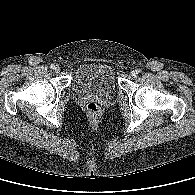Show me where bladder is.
Masks as SVG:
<instances>
[{
	"instance_id": "31cf9c89",
	"label": "bladder",
	"mask_w": 195,
	"mask_h": 195,
	"mask_svg": "<svg viewBox=\"0 0 195 195\" xmlns=\"http://www.w3.org/2000/svg\"><path fill=\"white\" fill-rule=\"evenodd\" d=\"M72 86L81 95L109 96L117 89L115 69L107 63H84L76 70Z\"/></svg>"
}]
</instances>
